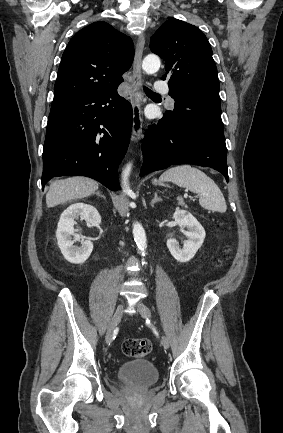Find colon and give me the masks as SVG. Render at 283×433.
I'll use <instances>...</instances> for the list:
<instances>
[{"instance_id": "1", "label": "colon", "mask_w": 283, "mask_h": 433, "mask_svg": "<svg viewBox=\"0 0 283 433\" xmlns=\"http://www.w3.org/2000/svg\"><path fill=\"white\" fill-rule=\"evenodd\" d=\"M217 265H219V262ZM151 349V342L144 338L128 339L122 346L123 353L131 358H143L151 352Z\"/></svg>"}]
</instances>
